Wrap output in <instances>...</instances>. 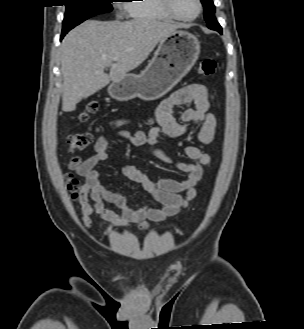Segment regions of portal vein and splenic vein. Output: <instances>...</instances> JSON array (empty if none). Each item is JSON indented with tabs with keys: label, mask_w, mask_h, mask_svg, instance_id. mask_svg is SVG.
I'll return each instance as SVG.
<instances>
[{
	"label": "portal vein and splenic vein",
	"mask_w": 304,
	"mask_h": 329,
	"mask_svg": "<svg viewBox=\"0 0 304 329\" xmlns=\"http://www.w3.org/2000/svg\"><path fill=\"white\" fill-rule=\"evenodd\" d=\"M113 60H114V61H117V60H118V58H113Z\"/></svg>",
	"instance_id": "1"
}]
</instances>
